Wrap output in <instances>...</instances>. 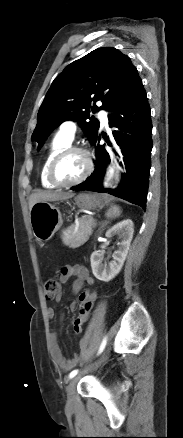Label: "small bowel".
<instances>
[{
	"mask_svg": "<svg viewBox=\"0 0 183 438\" xmlns=\"http://www.w3.org/2000/svg\"><path fill=\"white\" fill-rule=\"evenodd\" d=\"M76 277V280L74 281L72 285V294H77L81 291L84 284L87 285H93L94 279L89 274L88 270L81 265H75V266H63L60 269V282L61 283H67L71 278ZM82 293L89 294V290H85ZM79 295V300L81 299V294ZM63 299V294L59 293L56 297L57 302H61ZM80 305V304H79ZM79 308L77 302L73 301L70 304L71 310H76ZM47 315L49 319H54L56 314L55 310L53 308H49L47 310ZM89 319V316L87 319H83L80 315L74 320L72 325V331L74 334H79L82 331L84 323ZM52 358L53 362L62 370L67 371L71 368H73L76 363L77 359H66L62 353V350L60 349L58 343H57V337L54 334L52 336Z\"/></svg>",
	"mask_w": 183,
	"mask_h": 438,
	"instance_id": "obj_1",
	"label": "small bowel"
}]
</instances>
